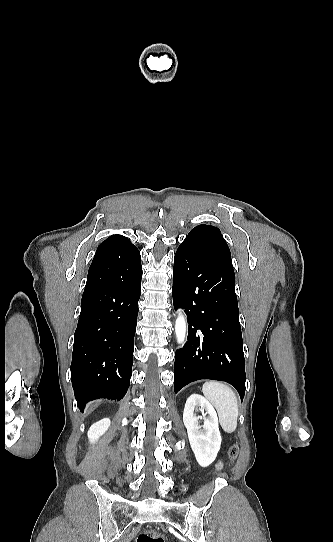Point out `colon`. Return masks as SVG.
<instances>
[{"label": "colon", "instance_id": "1", "mask_svg": "<svg viewBox=\"0 0 333 542\" xmlns=\"http://www.w3.org/2000/svg\"><path fill=\"white\" fill-rule=\"evenodd\" d=\"M238 454L239 448L236 445L229 448L228 455L230 458L235 459ZM136 542H165V540L163 539L162 535L156 530L148 529L138 535Z\"/></svg>", "mask_w": 333, "mask_h": 542}]
</instances>
